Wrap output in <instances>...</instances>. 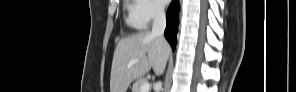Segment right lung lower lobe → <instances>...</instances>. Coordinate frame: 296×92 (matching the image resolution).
Returning a JSON list of instances; mask_svg holds the SVG:
<instances>
[{"label": "right lung lower lobe", "mask_w": 296, "mask_h": 92, "mask_svg": "<svg viewBox=\"0 0 296 92\" xmlns=\"http://www.w3.org/2000/svg\"><path fill=\"white\" fill-rule=\"evenodd\" d=\"M178 17H179V1L173 0L171 3L166 19H167V27L165 29L164 35L168 42L170 43L172 49H175L176 46V35L178 30Z\"/></svg>", "instance_id": "right-lung-lower-lobe-1"}]
</instances>
